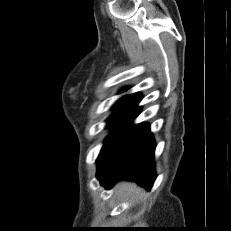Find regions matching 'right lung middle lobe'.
<instances>
[{"instance_id":"obj_1","label":"right lung middle lobe","mask_w":231,"mask_h":231,"mask_svg":"<svg viewBox=\"0 0 231 231\" xmlns=\"http://www.w3.org/2000/svg\"><path fill=\"white\" fill-rule=\"evenodd\" d=\"M138 102L139 101L121 99L113 106L115 111L108 118V126H114L115 129L106 138L105 146L135 119L140 112V107H137Z\"/></svg>"}]
</instances>
